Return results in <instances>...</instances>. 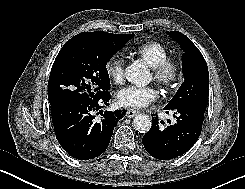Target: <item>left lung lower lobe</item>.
Returning a JSON list of instances; mask_svg holds the SVG:
<instances>
[{"instance_id":"1","label":"left lung lower lobe","mask_w":245,"mask_h":189,"mask_svg":"<svg viewBox=\"0 0 245 189\" xmlns=\"http://www.w3.org/2000/svg\"><path fill=\"white\" fill-rule=\"evenodd\" d=\"M166 113L174 111L177 122L166 128L159 127L163 121L152 119L151 129L143 136V145L153 157L161 160L173 159L186 153L201 134L205 110L195 105L177 108L165 106ZM175 117V115H174Z\"/></svg>"}]
</instances>
